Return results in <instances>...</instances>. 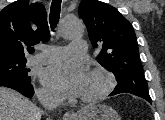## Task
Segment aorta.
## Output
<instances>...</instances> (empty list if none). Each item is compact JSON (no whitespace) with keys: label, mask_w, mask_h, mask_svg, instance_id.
Instances as JSON below:
<instances>
[{"label":"aorta","mask_w":165,"mask_h":120,"mask_svg":"<svg viewBox=\"0 0 165 120\" xmlns=\"http://www.w3.org/2000/svg\"><path fill=\"white\" fill-rule=\"evenodd\" d=\"M84 32V25L81 20L76 17L67 18L61 26V35L64 38H79Z\"/></svg>","instance_id":"obj_1"}]
</instances>
